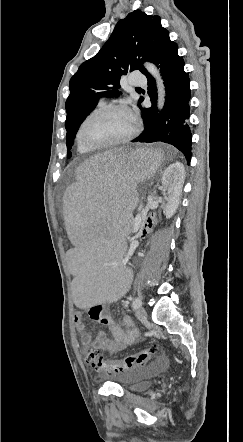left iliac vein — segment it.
<instances>
[{
	"mask_svg": "<svg viewBox=\"0 0 243 442\" xmlns=\"http://www.w3.org/2000/svg\"><path fill=\"white\" fill-rule=\"evenodd\" d=\"M136 317L139 321L144 322L147 320V312L146 310L140 306L136 309Z\"/></svg>",
	"mask_w": 243,
	"mask_h": 442,
	"instance_id": "1",
	"label": "left iliac vein"
}]
</instances>
